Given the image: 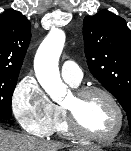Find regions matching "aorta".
<instances>
[{"mask_svg": "<svg viewBox=\"0 0 131 151\" xmlns=\"http://www.w3.org/2000/svg\"><path fill=\"white\" fill-rule=\"evenodd\" d=\"M64 41V33L59 29H52L41 43L34 61L35 74L39 83L55 101L60 100L66 92L58 69Z\"/></svg>", "mask_w": 131, "mask_h": 151, "instance_id": "1", "label": "aorta"}]
</instances>
